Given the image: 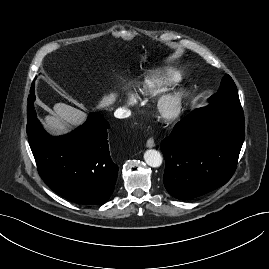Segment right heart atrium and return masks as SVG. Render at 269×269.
<instances>
[{
    "instance_id": "right-heart-atrium-1",
    "label": "right heart atrium",
    "mask_w": 269,
    "mask_h": 269,
    "mask_svg": "<svg viewBox=\"0 0 269 269\" xmlns=\"http://www.w3.org/2000/svg\"><path fill=\"white\" fill-rule=\"evenodd\" d=\"M136 103V98L133 95H129L127 98L128 105H134Z\"/></svg>"
}]
</instances>
